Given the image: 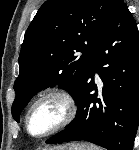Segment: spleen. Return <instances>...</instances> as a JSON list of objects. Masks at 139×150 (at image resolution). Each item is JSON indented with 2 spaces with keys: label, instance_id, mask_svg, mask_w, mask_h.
I'll return each mask as SVG.
<instances>
[{
  "label": "spleen",
  "instance_id": "1",
  "mask_svg": "<svg viewBox=\"0 0 139 150\" xmlns=\"http://www.w3.org/2000/svg\"><path fill=\"white\" fill-rule=\"evenodd\" d=\"M86 150H101L99 147L94 145H83Z\"/></svg>",
  "mask_w": 139,
  "mask_h": 150
}]
</instances>
